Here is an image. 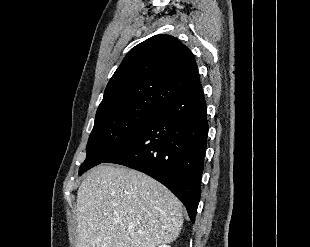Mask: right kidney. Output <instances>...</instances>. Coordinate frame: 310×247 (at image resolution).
<instances>
[{
    "label": "right kidney",
    "mask_w": 310,
    "mask_h": 247,
    "mask_svg": "<svg viewBox=\"0 0 310 247\" xmlns=\"http://www.w3.org/2000/svg\"><path fill=\"white\" fill-rule=\"evenodd\" d=\"M158 247H171V246H169V245H160Z\"/></svg>",
    "instance_id": "ca27d5eb"
}]
</instances>
